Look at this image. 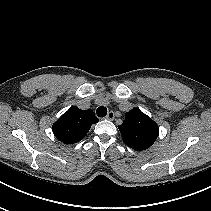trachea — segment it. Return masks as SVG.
<instances>
[{
  "label": "trachea",
  "instance_id": "3493384b",
  "mask_svg": "<svg viewBox=\"0 0 211 211\" xmlns=\"http://www.w3.org/2000/svg\"><path fill=\"white\" fill-rule=\"evenodd\" d=\"M96 113L98 117H104L107 114V108L103 106L98 107Z\"/></svg>",
  "mask_w": 211,
  "mask_h": 211
}]
</instances>
